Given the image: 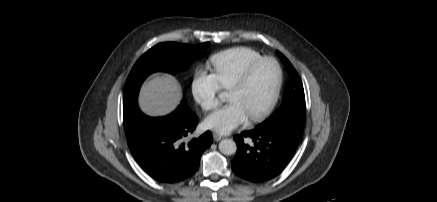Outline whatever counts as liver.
<instances>
[{
    "label": "liver",
    "instance_id": "liver-1",
    "mask_svg": "<svg viewBox=\"0 0 437 202\" xmlns=\"http://www.w3.org/2000/svg\"><path fill=\"white\" fill-rule=\"evenodd\" d=\"M181 97V86L176 79L166 75L155 76L143 85L139 106L149 116H163L177 107Z\"/></svg>",
    "mask_w": 437,
    "mask_h": 202
}]
</instances>
